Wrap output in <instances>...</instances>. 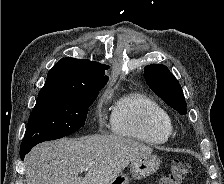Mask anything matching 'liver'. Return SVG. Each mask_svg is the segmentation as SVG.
<instances>
[{
  "instance_id": "liver-1",
  "label": "liver",
  "mask_w": 224,
  "mask_h": 184,
  "mask_svg": "<svg viewBox=\"0 0 224 184\" xmlns=\"http://www.w3.org/2000/svg\"><path fill=\"white\" fill-rule=\"evenodd\" d=\"M153 150L116 135L62 138L35 146L26 156L27 184H107L129 163ZM80 167L88 170L81 177Z\"/></svg>"
}]
</instances>
